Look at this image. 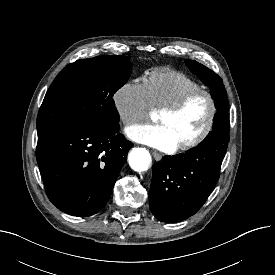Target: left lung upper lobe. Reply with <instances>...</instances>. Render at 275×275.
I'll list each match as a JSON object with an SVG mask.
<instances>
[{
  "instance_id": "left-lung-upper-lobe-1",
  "label": "left lung upper lobe",
  "mask_w": 275,
  "mask_h": 275,
  "mask_svg": "<svg viewBox=\"0 0 275 275\" xmlns=\"http://www.w3.org/2000/svg\"><path fill=\"white\" fill-rule=\"evenodd\" d=\"M186 65L192 73L201 78V81L210 87L211 96L214 99L217 113L214 116L213 129L209 132L203 142L217 140L224 143L229 142V118L228 100L222 79L212 70L195 60L186 59Z\"/></svg>"
}]
</instances>
